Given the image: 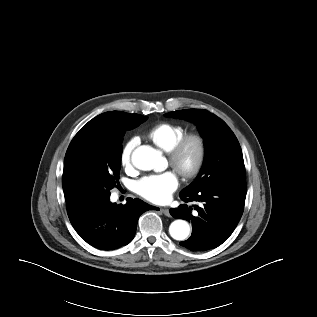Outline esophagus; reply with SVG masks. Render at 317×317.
I'll list each match as a JSON object with an SVG mask.
<instances>
[{
	"label": "esophagus",
	"mask_w": 317,
	"mask_h": 317,
	"mask_svg": "<svg viewBox=\"0 0 317 317\" xmlns=\"http://www.w3.org/2000/svg\"><path fill=\"white\" fill-rule=\"evenodd\" d=\"M161 212L167 217L171 216L170 211H169L168 208H161Z\"/></svg>",
	"instance_id": "obj_1"
}]
</instances>
